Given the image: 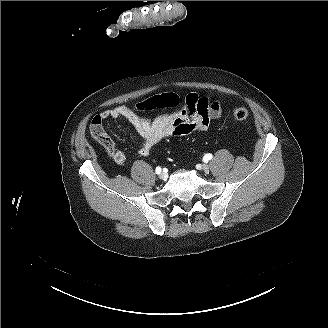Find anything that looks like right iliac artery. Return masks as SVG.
Masks as SVG:
<instances>
[{
  "mask_svg": "<svg viewBox=\"0 0 328 328\" xmlns=\"http://www.w3.org/2000/svg\"><path fill=\"white\" fill-rule=\"evenodd\" d=\"M155 172H156V174H160V173H161V168H160V167H157V168L155 169Z\"/></svg>",
  "mask_w": 328,
  "mask_h": 328,
  "instance_id": "1",
  "label": "right iliac artery"
}]
</instances>
